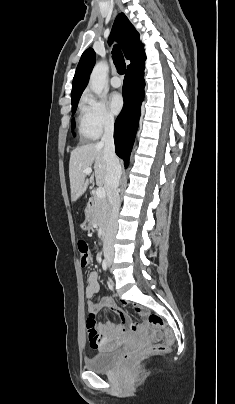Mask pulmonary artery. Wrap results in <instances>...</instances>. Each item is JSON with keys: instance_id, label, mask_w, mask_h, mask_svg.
<instances>
[{"instance_id": "pulmonary-artery-1", "label": "pulmonary artery", "mask_w": 235, "mask_h": 404, "mask_svg": "<svg viewBox=\"0 0 235 404\" xmlns=\"http://www.w3.org/2000/svg\"><path fill=\"white\" fill-rule=\"evenodd\" d=\"M111 86L114 88H119L122 85V82L119 77L114 76L110 80Z\"/></svg>"}]
</instances>
